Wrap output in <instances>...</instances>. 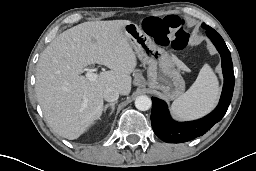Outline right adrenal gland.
I'll use <instances>...</instances> for the list:
<instances>
[{"instance_id": "2a0ac1e0", "label": "right adrenal gland", "mask_w": 256, "mask_h": 171, "mask_svg": "<svg viewBox=\"0 0 256 171\" xmlns=\"http://www.w3.org/2000/svg\"><path fill=\"white\" fill-rule=\"evenodd\" d=\"M116 103H117V102H113V103H109V104L105 105L104 108H103V112L106 113L107 109L110 107V108H111V113H110V115H112V114L114 113L115 104H116Z\"/></svg>"}]
</instances>
